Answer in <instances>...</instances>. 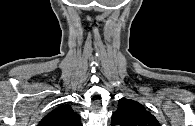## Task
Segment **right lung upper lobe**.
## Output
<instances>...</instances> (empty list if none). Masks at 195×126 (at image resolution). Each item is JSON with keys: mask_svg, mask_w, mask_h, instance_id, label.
Here are the masks:
<instances>
[{"mask_svg": "<svg viewBox=\"0 0 195 126\" xmlns=\"http://www.w3.org/2000/svg\"><path fill=\"white\" fill-rule=\"evenodd\" d=\"M38 126H82L80 116L70 105H62L47 114Z\"/></svg>", "mask_w": 195, "mask_h": 126, "instance_id": "right-lung-upper-lobe-1", "label": "right lung upper lobe"}]
</instances>
